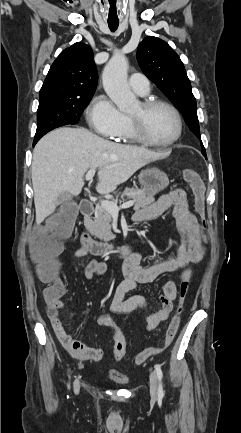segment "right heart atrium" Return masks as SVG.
I'll return each mask as SVG.
<instances>
[{
  "label": "right heart atrium",
  "instance_id": "d8ad5b80",
  "mask_svg": "<svg viewBox=\"0 0 241 433\" xmlns=\"http://www.w3.org/2000/svg\"><path fill=\"white\" fill-rule=\"evenodd\" d=\"M87 118L90 126L105 137L117 135L125 122V116L103 95L92 100L87 109Z\"/></svg>",
  "mask_w": 241,
  "mask_h": 433
}]
</instances>
